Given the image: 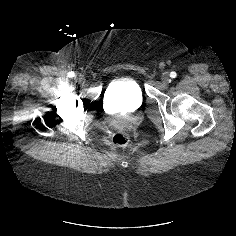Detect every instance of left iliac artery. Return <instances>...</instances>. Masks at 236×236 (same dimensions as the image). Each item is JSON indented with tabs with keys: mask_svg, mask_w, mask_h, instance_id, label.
I'll list each match as a JSON object with an SVG mask.
<instances>
[{
	"mask_svg": "<svg viewBox=\"0 0 236 236\" xmlns=\"http://www.w3.org/2000/svg\"><path fill=\"white\" fill-rule=\"evenodd\" d=\"M176 76H177L176 72H171V73H170V77H171V78H175Z\"/></svg>",
	"mask_w": 236,
	"mask_h": 236,
	"instance_id": "44dca946",
	"label": "left iliac artery"
}]
</instances>
